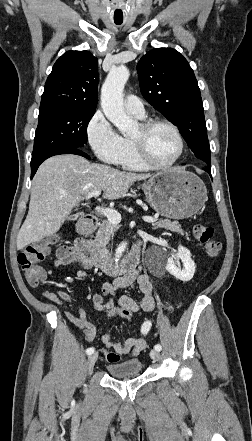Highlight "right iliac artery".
Instances as JSON below:
<instances>
[{
  "instance_id": "right-iliac-artery-1",
  "label": "right iliac artery",
  "mask_w": 252,
  "mask_h": 441,
  "mask_svg": "<svg viewBox=\"0 0 252 441\" xmlns=\"http://www.w3.org/2000/svg\"><path fill=\"white\" fill-rule=\"evenodd\" d=\"M94 351H95V349H94L93 347H90V348H88V349L86 350V353H87L88 355H91V354L94 353Z\"/></svg>"
}]
</instances>
